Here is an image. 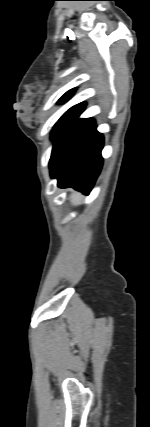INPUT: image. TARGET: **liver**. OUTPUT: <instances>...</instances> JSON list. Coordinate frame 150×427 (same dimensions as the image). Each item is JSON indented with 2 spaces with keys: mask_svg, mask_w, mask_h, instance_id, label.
<instances>
[{
  "mask_svg": "<svg viewBox=\"0 0 150 427\" xmlns=\"http://www.w3.org/2000/svg\"><path fill=\"white\" fill-rule=\"evenodd\" d=\"M80 201H81V197L78 194L72 195V200H71L72 204L78 205Z\"/></svg>",
  "mask_w": 150,
  "mask_h": 427,
  "instance_id": "6515ba94",
  "label": "liver"
}]
</instances>
